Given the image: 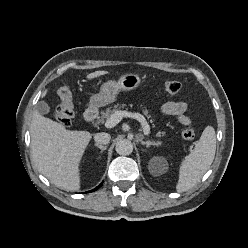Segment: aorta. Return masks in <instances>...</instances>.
<instances>
[{
  "label": "aorta",
  "mask_w": 248,
  "mask_h": 248,
  "mask_svg": "<svg viewBox=\"0 0 248 248\" xmlns=\"http://www.w3.org/2000/svg\"><path fill=\"white\" fill-rule=\"evenodd\" d=\"M115 150L119 155H129L133 151V144L128 139H122L116 143Z\"/></svg>",
  "instance_id": "762f6f07"
}]
</instances>
